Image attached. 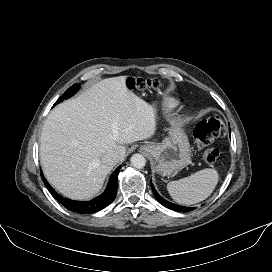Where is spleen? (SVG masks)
<instances>
[{
    "label": "spleen",
    "mask_w": 272,
    "mask_h": 272,
    "mask_svg": "<svg viewBox=\"0 0 272 272\" xmlns=\"http://www.w3.org/2000/svg\"><path fill=\"white\" fill-rule=\"evenodd\" d=\"M215 169H203L177 181L167 184V190L174 201L192 205L208 198L218 183Z\"/></svg>",
    "instance_id": "3e777b00"
}]
</instances>
